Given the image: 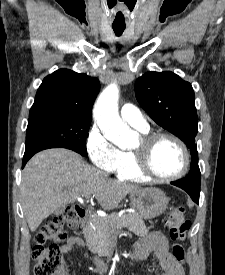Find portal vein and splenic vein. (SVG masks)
Returning <instances> with one entry per match:
<instances>
[{
    "mask_svg": "<svg viewBox=\"0 0 225 275\" xmlns=\"http://www.w3.org/2000/svg\"><path fill=\"white\" fill-rule=\"evenodd\" d=\"M81 200H82L81 198L78 199V201H81Z\"/></svg>",
    "mask_w": 225,
    "mask_h": 275,
    "instance_id": "obj_1",
    "label": "portal vein and splenic vein"
}]
</instances>
